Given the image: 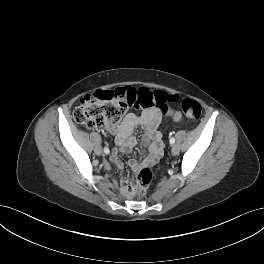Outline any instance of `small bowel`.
<instances>
[{"mask_svg": "<svg viewBox=\"0 0 264 264\" xmlns=\"http://www.w3.org/2000/svg\"><path fill=\"white\" fill-rule=\"evenodd\" d=\"M169 115L176 122L182 120V115L178 111L171 110ZM161 118V112L158 109H146L138 115L128 114L119 126L108 127V130L115 135L116 144L120 150L128 152L137 145L136 139L132 137L134 128L139 125L143 126L145 130L143 141L148 145V155L142 162L131 161L130 165L134 171L153 166L162 155L163 142L161 134L157 131ZM112 161L118 168H122V161L119 159L118 152H114ZM121 194L124 196L131 195L127 179L121 181Z\"/></svg>", "mask_w": 264, "mask_h": 264, "instance_id": "1", "label": "small bowel"}]
</instances>
